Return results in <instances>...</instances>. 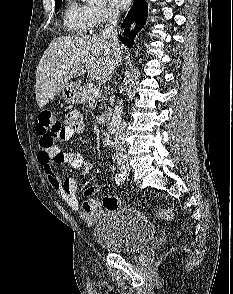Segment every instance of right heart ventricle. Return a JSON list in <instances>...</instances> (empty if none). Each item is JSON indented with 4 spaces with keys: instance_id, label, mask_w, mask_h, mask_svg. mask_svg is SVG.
Wrapping results in <instances>:
<instances>
[{
    "instance_id": "right-heart-ventricle-1",
    "label": "right heart ventricle",
    "mask_w": 233,
    "mask_h": 294,
    "mask_svg": "<svg viewBox=\"0 0 233 294\" xmlns=\"http://www.w3.org/2000/svg\"><path fill=\"white\" fill-rule=\"evenodd\" d=\"M63 25L71 34L88 33L93 28L89 6L78 0H68L63 12Z\"/></svg>"
}]
</instances>
